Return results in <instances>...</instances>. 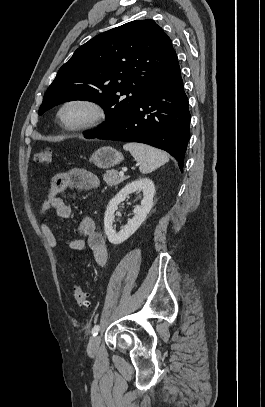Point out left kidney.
Wrapping results in <instances>:
<instances>
[{
	"label": "left kidney",
	"instance_id": "left-kidney-1",
	"mask_svg": "<svg viewBox=\"0 0 265 407\" xmlns=\"http://www.w3.org/2000/svg\"><path fill=\"white\" fill-rule=\"evenodd\" d=\"M137 191L143 192L144 197L141 201V205L134 209V217L128 221V224L119 232H116L113 228V222L114 213L118 209V205L123 202L129 194ZM154 194L155 186L153 181L148 178H140L127 184L110 200L104 216V230L110 243L118 245L136 232L147 218L153 206Z\"/></svg>",
	"mask_w": 265,
	"mask_h": 407
}]
</instances>
